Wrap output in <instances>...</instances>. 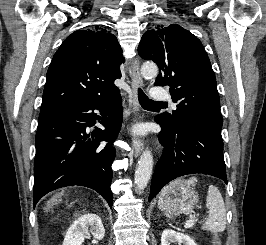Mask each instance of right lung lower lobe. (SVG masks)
Instances as JSON below:
<instances>
[{
    "mask_svg": "<svg viewBox=\"0 0 266 245\" xmlns=\"http://www.w3.org/2000/svg\"><path fill=\"white\" fill-rule=\"evenodd\" d=\"M119 92L105 98L79 103L39 120L36 133L33 206L48 192L80 185L96 190L112 208V146L122 124ZM104 130L88 127L100 120ZM92 111V112H91ZM104 141H108L105 143Z\"/></svg>",
    "mask_w": 266,
    "mask_h": 245,
    "instance_id": "1",
    "label": "right lung lower lobe"
}]
</instances>
